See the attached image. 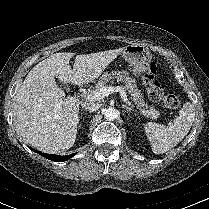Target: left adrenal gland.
<instances>
[{
	"instance_id": "1",
	"label": "left adrenal gland",
	"mask_w": 209,
	"mask_h": 209,
	"mask_svg": "<svg viewBox=\"0 0 209 209\" xmlns=\"http://www.w3.org/2000/svg\"><path fill=\"white\" fill-rule=\"evenodd\" d=\"M122 107H123L124 109H126L128 112L134 111V110L132 109V107H129V106H127V105H123Z\"/></svg>"
}]
</instances>
